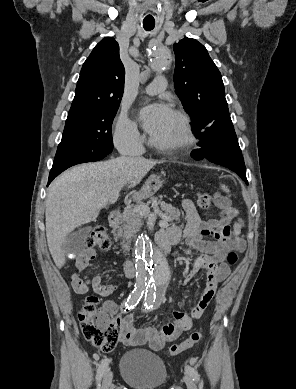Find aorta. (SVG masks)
Wrapping results in <instances>:
<instances>
[{
    "label": "aorta",
    "instance_id": "762f6f07",
    "mask_svg": "<svg viewBox=\"0 0 296 389\" xmlns=\"http://www.w3.org/2000/svg\"><path fill=\"white\" fill-rule=\"evenodd\" d=\"M172 60V49L162 45L152 49L150 66L154 71H164ZM133 254L137 265V286L146 288L148 297H153L169 282L171 272L167 258L145 236L136 241Z\"/></svg>",
    "mask_w": 296,
    "mask_h": 389
}]
</instances>
